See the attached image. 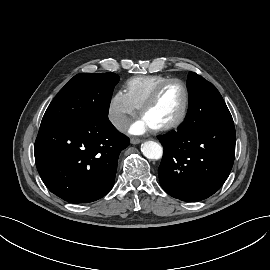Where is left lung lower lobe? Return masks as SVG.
Segmentation results:
<instances>
[{
	"label": "left lung lower lobe",
	"instance_id": "left-lung-lower-lobe-1",
	"mask_svg": "<svg viewBox=\"0 0 270 270\" xmlns=\"http://www.w3.org/2000/svg\"><path fill=\"white\" fill-rule=\"evenodd\" d=\"M189 114L190 107L176 131L158 138L164 147L158 175L169 195L195 202L213 195L229 176L236 133L234 124L199 125Z\"/></svg>",
	"mask_w": 270,
	"mask_h": 270
}]
</instances>
